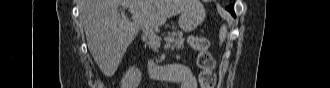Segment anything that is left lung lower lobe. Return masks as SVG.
Masks as SVG:
<instances>
[{
	"mask_svg": "<svg viewBox=\"0 0 330 88\" xmlns=\"http://www.w3.org/2000/svg\"><path fill=\"white\" fill-rule=\"evenodd\" d=\"M233 16H235V13H234V5H230L226 8Z\"/></svg>",
	"mask_w": 330,
	"mask_h": 88,
	"instance_id": "left-lung-lower-lobe-1",
	"label": "left lung lower lobe"
}]
</instances>
